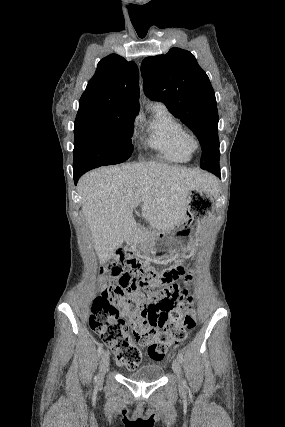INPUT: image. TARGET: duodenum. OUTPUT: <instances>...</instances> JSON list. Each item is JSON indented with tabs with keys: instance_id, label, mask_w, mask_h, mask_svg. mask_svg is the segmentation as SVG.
Segmentation results:
<instances>
[{
	"instance_id": "duodenum-1",
	"label": "duodenum",
	"mask_w": 285,
	"mask_h": 427,
	"mask_svg": "<svg viewBox=\"0 0 285 427\" xmlns=\"http://www.w3.org/2000/svg\"><path fill=\"white\" fill-rule=\"evenodd\" d=\"M133 230L137 235L143 236L145 234V229L142 226H136Z\"/></svg>"
}]
</instances>
